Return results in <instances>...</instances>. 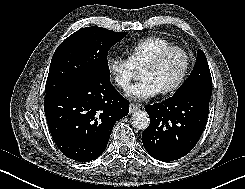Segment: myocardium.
<instances>
[{
	"label": "myocardium",
	"mask_w": 245,
	"mask_h": 189,
	"mask_svg": "<svg viewBox=\"0 0 245 189\" xmlns=\"http://www.w3.org/2000/svg\"><path fill=\"white\" fill-rule=\"evenodd\" d=\"M172 52L181 53L186 60V65H185V69H184L182 75L180 76V78L173 85H171L170 87H167L166 89L161 91V93L163 95H169V94L175 93L176 91H178L183 86V84L187 80V78L190 74L191 68H192V57H191L190 53L186 49H184L183 47L172 45V46L164 48L160 52H158L141 69V70H145V69L157 68L164 61V59L169 54H171Z\"/></svg>",
	"instance_id": "1"
}]
</instances>
